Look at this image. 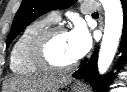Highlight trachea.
I'll return each mask as SVG.
<instances>
[{"label": "trachea", "mask_w": 127, "mask_h": 92, "mask_svg": "<svg viewBox=\"0 0 127 92\" xmlns=\"http://www.w3.org/2000/svg\"><path fill=\"white\" fill-rule=\"evenodd\" d=\"M92 16H99L98 12H94Z\"/></svg>", "instance_id": "obj_1"}]
</instances>
